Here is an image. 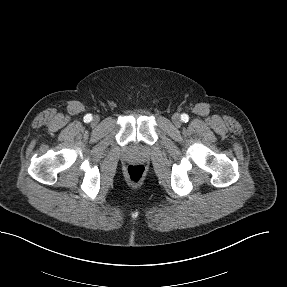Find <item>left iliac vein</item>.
<instances>
[{
	"instance_id": "left-iliac-vein-1",
	"label": "left iliac vein",
	"mask_w": 287,
	"mask_h": 287,
	"mask_svg": "<svg viewBox=\"0 0 287 287\" xmlns=\"http://www.w3.org/2000/svg\"><path fill=\"white\" fill-rule=\"evenodd\" d=\"M172 122L174 123V125L176 127H180L182 122H181V117L179 114L175 113L173 116H172Z\"/></svg>"
}]
</instances>
